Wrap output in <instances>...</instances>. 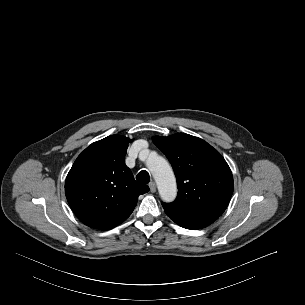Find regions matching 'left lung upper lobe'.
Returning a JSON list of instances; mask_svg holds the SVG:
<instances>
[{
    "mask_svg": "<svg viewBox=\"0 0 305 305\" xmlns=\"http://www.w3.org/2000/svg\"><path fill=\"white\" fill-rule=\"evenodd\" d=\"M169 159L178 186L165 212L188 217H219L233 193V176L222 155L204 140L185 133L153 137Z\"/></svg>",
    "mask_w": 305,
    "mask_h": 305,
    "instance_id": "left-lung-upper-lobe-1",
    "label": "left lung upper lobe"
}]
</instances>
